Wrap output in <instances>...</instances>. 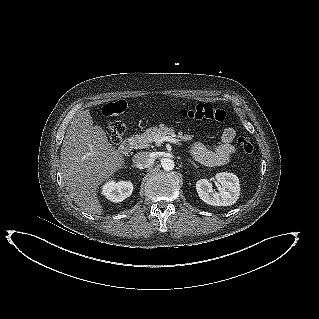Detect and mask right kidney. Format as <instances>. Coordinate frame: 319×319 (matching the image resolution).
Masks as SVG:
<instances>
[{"mask_svg":"<svg viewBox=\"0 0 319 319\" xmlns=\"http://www.w3.org/2000/svg\"><path fill=\"white\" fill-rule=\"evenodd\" d=\"M133 184L130 181L111 180L103 186L102 193L111 202H121L132 194Z\"/></svg>","mask_w":319,"mask_h":319,"instance_id":"1","label":"right kidney"}]
</instances>
